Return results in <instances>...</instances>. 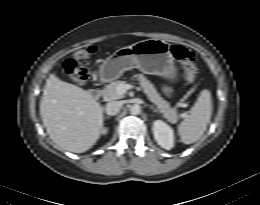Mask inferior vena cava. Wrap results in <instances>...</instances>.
<instances>
[{
    "mask_svg": "<svg viewBox=\"0 0 260 205\" xmlns=\"http://www.w3.org/2000/svg\"><path fill=\"white\" fill-rule=\"evenodd\" d=\"M120 108H121L120 101H111L107 103L105 110L108 115L113 116L119 112Z\"/></svg>",
    "mask_w": 260,
    "mask_h": 205,
    "instance_id": "obj_1",
    "label": "inferior vena cava"
}]
</instances>
